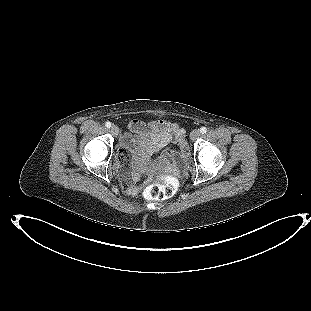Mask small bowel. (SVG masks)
I'll use <instances>...</instances> for the list:
<instances>
[{"label":"small bowel","mask_w":311,"mask_h":311,"mask_svg":"<svg viewBox=\"0 0 311 311\" xmlns=\"http://www.w3.org/2000/svg\"><path fill=\"white\" fill-rule=\"evenodd\" d=\"M130 132L121 139L122 150L129 152L136 146L142 147V154L139 161L132 165V169L128 171L125 167L120 166V172L125 178L127 189L133 193L135 187L133 180L139 179L146 172L147 159L166 147L169 143L176 144L180 151L176 153L169 152L159 162H168V167L173 170L176 175H180L185 167V161L189 156L188 147L184 140V132L178 124L167 120H156L151 123H144L134 120L129 126ZM129 155V158H130ZM120 159L121 162L129 160ZM172 160V162H171Z\"/></svg>","instance_id":"1"}]
</instances>
